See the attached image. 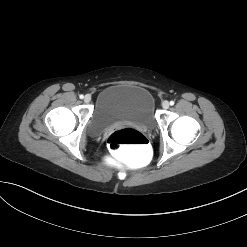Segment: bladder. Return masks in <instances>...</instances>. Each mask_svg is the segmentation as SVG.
I'll use <instances>...</instances> for the list:
<instances>
[{"label":"bladder","mask_w":247,"mask_h":247,"mask_svg":"<svg viewBox=\"0 0 247 247\" xmlns=\"http://www.w3.org/2000/svg\"><path fill=\"white\" fill-rule=\"evenodd\" d=\"M117 123H129L151 129L156 124L154 99L137 85L117 84L104 88L98 95L88 122L91 134H100Z\"/></svg>","instance_id":"bladder-1"}]
</instances>
